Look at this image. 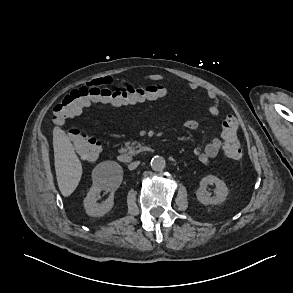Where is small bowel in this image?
Segmentation results:
<instances>
[{"mask_svg": "<svg viewBox=\"0 0 293 293\" xmlns=\"http://www.w3.org/2000/svg\"><path fill=\"white\" fill-rule=\"evenodd\" d=\"M164 79H165V77L160 74H151L147 77V80L154 81V82L162 81ZM96 81L97 82H110V79L108 77H103V78L96 79L93 82H96ZM155 86L162 89L163 93L160 96L153 97V98H150L147 100L133 102L130 104H125V105H137V104L143 103L145 101H153V100H156L158 98L165 96V94H166L165 87L162 85H159V84L155 85ZM188 87L192 90H197L199 88V85L195 82H188ZM206 95L210 100H212V103L208 106L209 113L212 116H218L220 113V103H219V98H218L217 93L214 90L208 89V90H206ZM89 106H91V105H89ZM89 106H87V107H89ZM112 106L119 107L122 105H112ZM184 127L189 130H195V129L199 128V122L195 119H187L184 122ZM221 148H222L221 139L215 137V138H212L206 144V146L204 148L195 147L193 149V154L201 163L207 164L211 159L215 158L220 153Z\"/></svg>", "mask_w": 293, "mask_h": 293, "instance_id": "c3829d8e", "label": "small bowel"}]
</instances>
